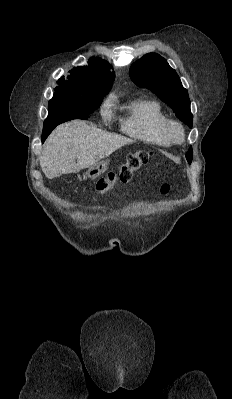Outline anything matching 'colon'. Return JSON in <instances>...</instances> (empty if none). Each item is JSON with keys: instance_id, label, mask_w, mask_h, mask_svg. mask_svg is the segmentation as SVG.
<instances>
[{"instance_id": "obj_1", "label": "colon", "mask_w": 232, "mask_h": 399, "mask_svg": "<svg viewBox=\"0 0 232 399\" xmlns=\"http://www.w3.org/2000/svg\"><path fill=\"white\" fill-rule=\"evenodd\" d=\"M149 162V157L145 153H138L131 155L126 160V163H116V170L107 175L106 180H96V185H110L109 191H114V186L121 182V185H126L125 179H132V174H129L130 168H140ZM97 191H104V186H97ZM164 191H169V186H164L163 189H155V194H163Z\"/></svg>"}]
</instances>
